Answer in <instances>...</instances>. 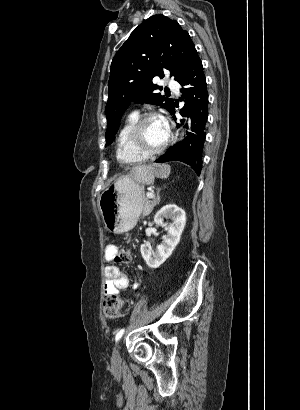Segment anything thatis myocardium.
Returning <instances> with one entry per match:
<instances>
[{"label": "myocardium", "mask_w": 300, "mask_h": 410, "mask_svg": "<svg viewBox=\"0 0 300 410\" xmlns=\"http://www.w3.org/2000/svg\"><path fill=\"white\" fill-rule=\"evenodd\" d=\"M154 118L161 119V116L154 112L145 113L139 116L137 120L135 121V123L133 124L130 130V134H129V140H130L132 147L138 153H140L141 155L145 157L153 156V155L163 152L169 145L171 138H172L171 133L168 131V136L165 142L160 147H157V148L146 147L143 141L142 129H143L144 124L147 121L154 119Z\"/></svg>", "instance_id": "1"}]
</instances>
